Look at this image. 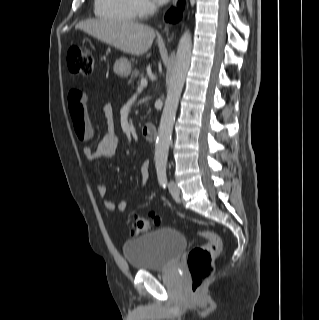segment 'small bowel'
<instances>
[{
	"mask_svg": "<svg viewBox=\"0 0 319 320\" xmlns=\"http://www.w3.org/2000/svg\"><path fill=\"white\" fill-rule=\"evenodd\" d=\"M68 106L73 123L84 125L91 130L93 135L94 129L86 108V94L80 89H72L68 95ZM103 112L106 119L113 124L114 113L112 105L109 103L105 104ZM119 144V136L115 131L110 130L104 134L95 147L84 145L82 151L88 161H96L101 158H113L118 154ZM149 167L150 164L148 161L143 162L140 166V173L144 183L147 182L149 178ZM96 191L102 198H105L107 195V188L103 184H97ZM104 207L108 211H125L127 201L114 202L109 199H104Z\"/></svg>",
	"mask_w": 319,
	"mask_h": 320,
	"instance_id": "1",
	"label": "small bowel"
}]
</instances>
